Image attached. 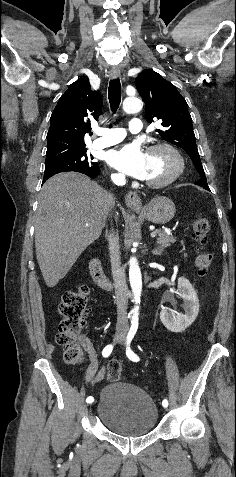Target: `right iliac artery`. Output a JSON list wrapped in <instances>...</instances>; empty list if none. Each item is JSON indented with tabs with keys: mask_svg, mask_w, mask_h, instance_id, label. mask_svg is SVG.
I'll return each instance as SVG.
<instances>
[{
	"mask_svg": "<svg viewBox=\"0 0 236 477\" xmlns=\"http://www.w3.org/2000/svg\"><path fill=\"white\" fill-rule=\"evenodd\" d=\"M112 350H113V345L112 344L107 345L102 351L103 357H105V358L108 357L111 354ZM86 402L88 404L92 405V404H94L95 401H94V398L92 396H89V397H87Z\"/></svg>",
	"mask_w": 236,
	"mask_h": 477,
	"instance_id": "obj_1",
	"label": "right iliac artery"
}]
</instances>
